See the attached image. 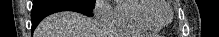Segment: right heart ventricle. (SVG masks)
Returning a JSON list of instances; mask_svg holds the SVG:
<instances>
[{"label":"right heart ventricle","mask_w":219,"mask_h":37,"mask_svg":"<svg viewBox=\"0 0 219 37\" xmlns=\"http://www.w3.org/2000/svg\"><path fill=\"white\" fill-rule=\"evenodd\" d=\"M152 6L154 4L147 0H121L114 10L112 25L136 32L158 33L162 27L145 17V11Z\"/></svg>","instance_id":"obj_1"}]
</instances>
